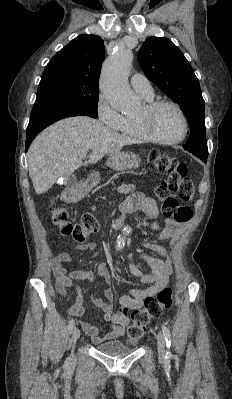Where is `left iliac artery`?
I'll return each instance as SVG.
<instances>
[{"mask_svg":"<svg viewBox=\"0 0 232 399\" xmlns=\"http://www.w3.org/2000/svg\"><path fill=\"white\" fill-rule=\"evenodd\" d=\"M162 332H163V335H164V338H165L166 346L168 348V350L166 352V355H165V358L169 359V358L173 357V355H172V353L170 351V347H171V343H172L171 333H170L169 329L166 326H164V325L162 326Z\"/></svg>","mask_w":232,"mask_h":399,"instance_id":"44dca946","label":"left iliac artery"}]
</instances>
